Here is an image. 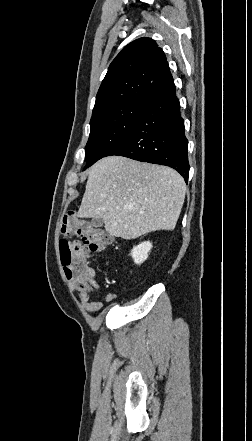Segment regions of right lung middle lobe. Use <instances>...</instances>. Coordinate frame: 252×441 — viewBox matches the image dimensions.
<instances>
[{"mask_svg":"<svg viewBox=\"0 0 252 441\" xmlns=\"http://www.w3.org/2000/svg\"><path fill=\"white\" fill-rule=\"evenodd\" d=\"M145 107L144 99H135L105 108L92 115L90 136L85 148L88 168L121 142L137 123Z\"/></svg>","mask_w":252,"mask_h":441,"instance_id":"obj_1","label":"right lung middle lobe"}]
</instances>
